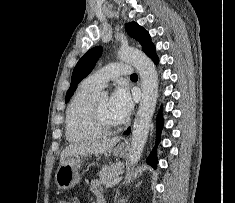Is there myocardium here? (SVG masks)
Wrapping results in <instances>:
<instances>
[{
	"label": "myocardium",
	"instance_id": "1",
	"mask_svg": "<svg viewBox=\"0 0 235 203\" xmlns=\"http://www.w3.org/2000/svg\"><path fill=\"white\" fill-rule=\"evenodd\" d=\"M91 116H92V122L94 127L96 128V130L101 134V135H111L114 133H117L118 131L121 130L123 123H120L117 126H109L107 125L98 108L97 105V100H94L92 102V106H91Z\"/></svg>",
	"mask_w": 235,
	"mask_h": 203
}]
</instances>
